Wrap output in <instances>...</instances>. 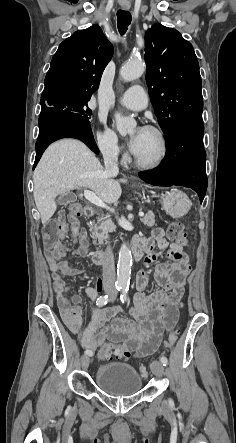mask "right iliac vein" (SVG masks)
<instances>
[{
  "instance_id": "63e3f726",
  "label": "right iliac vein",
  "mask_w": 236,
  "mask_h": 443,
  "mask_svg": "<svg viewBox=\"0 0 236 443\" xmlns=\"http://www.w3.org/2000/svg\"><path fill=\"white\" fill-rule=\"evenodd\" d=\"M89 362H90L89 356L83 355L81 357V365H82L83 369H87L88 368Z\"/></svg>"
}]
</instances>
